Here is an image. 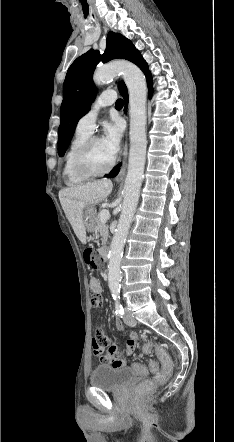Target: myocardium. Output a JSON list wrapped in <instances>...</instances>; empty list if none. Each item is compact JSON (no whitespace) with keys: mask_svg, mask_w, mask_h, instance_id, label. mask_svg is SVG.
Instances as JSON below:
<instances>
[{"mask_svg":"<svg viewBox=\"0 0 234 442\" xmlns=\"http://www.w3.org/2000/svg\"><path fill=\"white\" fill-rule=\"evenodd\" d=\"M101 140L97 136H90L88 139H86L83 144L79 147L77 150L75 157H74V166L75 169L79 174L85 177H99L103 176L107 173H109L116 164V158L113 157L110 164L102 169V170H95L90 166L89 163V153L91 150L92 145L96 142Z\"/></svg>","mask_w":234,"mask_h":442,"instance_id":"f54148a6","label":"myocardium"}]
</instances>
